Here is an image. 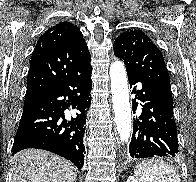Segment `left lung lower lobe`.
I'll list each match as a JSON object with an SVG mask.
<instances>
[{
    "label": "left lung lower lobe",
    "instance_id": "left-lung-lower-lobe-1",
    "mask_svg": "<svg viewBox=\"0 0 196 182\" xmlns=\"http://www.w3.org/2000/svg\"><path fill=\"white\" fill-rule=\"evenodd\" d=\"M127 75L130 89L135 94V99L132 101L133 113H139L133 124L129 154L133 158L175 157L178 154V138L173 101L167 99L140 75L129 70ZM137 82H140L138 91L134 86ZM136 99L142 102L140 110Z\"/></svg>",
    "mask_w": 196,
    "mask_h": 182
}]
</instances>
